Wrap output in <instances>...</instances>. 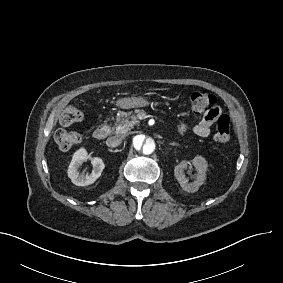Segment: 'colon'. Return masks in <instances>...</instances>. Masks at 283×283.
I'll return each mask as SVG.
<instances>
[{
	"instance_id": "obj_1",
	"label": "colon",
	"mask_w": 283,
	"mask_h": 283,
	"mask_svg": "<svg viewBox=\"0 0 283 283\" xmlns=\"http://www.w3.org/2000/svg\"><path fill=\"white\" fill-rule=\"evenodd\" d=\"M191 109L194 113H202L217 103V98L207 91H195L191 94ZM83 118L82 110L74 104L67 105L61 112L60 121L62 124L78 123ZM230 135V117L225 120H216L213 128V140L216 143H224ZM55 140L58 147L63 150L74 148L80 141V135L75 131L58 130L55 133Z\"/></svg>"
}]
</instances>
